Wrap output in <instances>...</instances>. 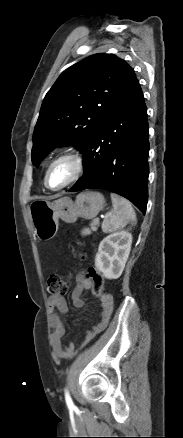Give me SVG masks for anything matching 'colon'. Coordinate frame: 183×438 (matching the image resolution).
<instances>
[{
    "instance_id": "obj_1",
    "label": "colon",
    "mask_w": 183,
    "mask_h": 438,
    "mask_svg": "<svg viewBox=\"0 0 183 438\" xmlns=\"http://www.w3.org/2000/svg\"><path fill=\"white\" fill-rule=\"evenodd\" d=\"M87 276L92 282L91 291L94 297L101 298L107 294L104 280L95 267H89ZM69 288V284L59 275H51L47 281V292L50 297L63 296Z\"/></svg>"
}]
</instances>
